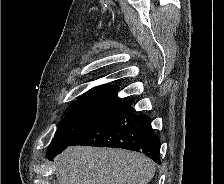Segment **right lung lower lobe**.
<instances>
[{
  "label": "right lung lower lobe",
  "instance_id": "98d812e1",
  "mask_svg": "<svg viewBox=\"0 0 224 184\" xmlns=\"http://www.w3.org/2000/svg\"><path fill=\"white\" fill-rule=\"evenodd\" d=\"M133 100L120 102L107 116L75 136L70 142L49 148L47 159L61 153L68 146H107L142 152L160 164V139L151 128L150 117L135 115Z\"/></svg>",
  "mask_w": 224,
  "mask_h": 184
}]
</instances>
